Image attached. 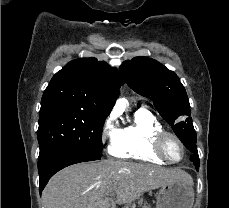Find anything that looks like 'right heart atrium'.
Wrapping results in <instances>:
<instances>
[{
  "instance_id": "right-heart-atrium-1",
  "label": "right heart atrium",
  "mask_w": 229,
  "mask_h": 208,
  "mask_svg": "<svg viewBox=\"0 0 229 208\" xmlns=\"http://www.w3.org/2000/svg\"><path fill=\"white\" fill-rule=\"evenodd\" d=\"M101 139L103 142H108V149L112 152L117 139L118 130L115 126V118L113 115H109L103 122Z\"/></svg>"
}]
</instances>
